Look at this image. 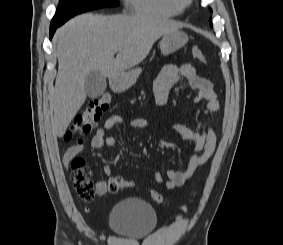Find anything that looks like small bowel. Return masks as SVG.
I'll return each instance as SVG.
<instances>
[{"mask_svg": "<svg viewBox=\"0 0 283 245\" xmlns=\"http://www.w3.org/2000/svg\"><path fill=\"white\" fill-rule=\"evenodd\" d=\"M181 80H185L190 88L196 92L193 103L205 102V115L219 111L220 104L212 83L208 79L199 76L195 68L190 64L179 66L169 64L163 67L154 82V95L157 105L161 107L167 106L169 91ZM122 123L123 118L119 115L109 117L91 138V146L95 149L113 147L116 144V140L113 136H107L106 133ZM128 125L132 130L148 129L151 126L150 122L143 118L132 119ZM170 126L183 140L191 143L194 147V154L191 156L185 170H168L166 172L167 179L159 171L154 173V179L157 183L164 184L167 189H175L182 186L213 155L217 138L212 124H208L202 132H197L177 121H171ZM83 148L84 144L82 142L70 147L63 156L64 164L68 166L72 158ZM103 172L109 179L113 177L110 167H105ZM95 190L98 196L107 194L108 182L98 181L95 185ZM86 210L89 211V208H86Z\"/></svg>", "mask_w": 283, "mask_h": 245, "instance_id": "obj_1", "label": "small bowel"}]
</instances>
